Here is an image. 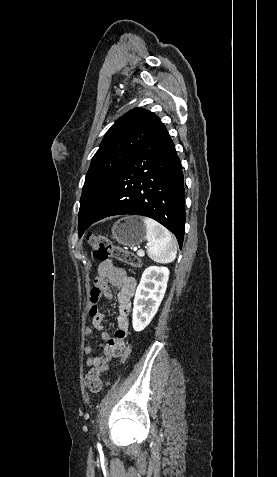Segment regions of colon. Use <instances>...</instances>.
<instances>
[{
    "mask_svg": "<svg viewBox=\"0 0 277 477\" xmlns=\"http://www.w3.org/2000/svg\"><path fill=\"white\" fill-rule=\"evenodd\" d=\"M88 241L97 260L113 258L126 263L129 268H142L143 266L140 256L114 245L106 236L91 234ZM85 384L91 392H98L101 389L100 371L96 368L91 369L86 375Z\"/></svg>",
    "mask_w": 277,
    "mask_h": 477,
    "instance_id": "obj_1",
    "label": "colon"
}]
</instances>
